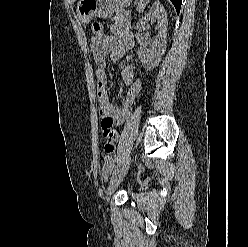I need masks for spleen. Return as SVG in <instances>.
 <instances>
[{
  "mask_svg": "<svg viewBox=\"0 0 248 247\" xmlns=\"http://www.w3.org/2000/svg\"><path fill=\"white\" fill-rule=\"evenodd\" d=\"M149 0H138L137 11L139 13L143 12Z\"/></svg>",
  "mask_w": 248,
  "mask_h": 247,
  "instance_id": "obj_1",
  "label": "spleen"
}]
</instances>
